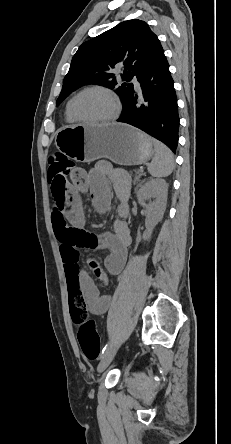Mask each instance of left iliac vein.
<instances>
[{
    "mask_svg": "<svg viewBox=\"0 0 231 444\" xmlns=\"http://www.w3.org/2000/svg\"><path fill=\"white\" fill-rule=\"evenodd\" d=\"M120 347V343H117L113 348L109 349L101 358L97 370L99 373L103 372L107 366L112 362L114 356L116 355L118 349Z\"/></svg>",
    "mask_w": 231,
    "mask_h": 444,
    "instance_id": "obj_1",
    "label": "left iliac vein"
}]
</instances>
